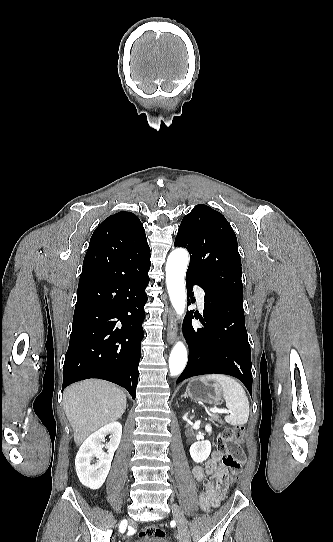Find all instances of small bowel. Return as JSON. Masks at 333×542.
<instances>
[{
	"mask_svg": "<svg viewBox=\"0 0 333 542\" xmlns=\"http://www.w3.org/2000/svg\"><path fill=\"white\" fill-rule=\"evenodd\" d=\"M224 457L225 455L221 451L216 450L203 467L195 466L192 469L194 479L202 488L199 505L204 512H210L213 508L218 507L225 496L219 489L221 482L229 477Z\"/></svg>",
	"mask_w": 333,
	"mask_h": 542,
	"instance_id": "1",
	"label": "small bowel"
}]
</instances>
